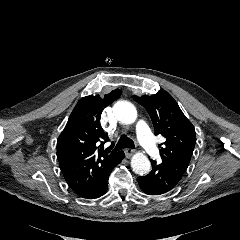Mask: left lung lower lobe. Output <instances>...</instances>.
Instances as JSON below:
<instances>
[{"label": "left lung lower lobe", "instance_id": "obj_1", "mask_svg": "<svg viewBox=\"0 0 240 240\" xmlns=\"http://www.w3.org/2000/svg\"><path fill=\"white\" fill-rule=\"evenodd\" d=\"M141 190L148 195H161L174 189L181 178L169 169L152 161V171L137 178Z\"/></svg>", "mask_w": 240, "mask_h": 240}]
</instances>
